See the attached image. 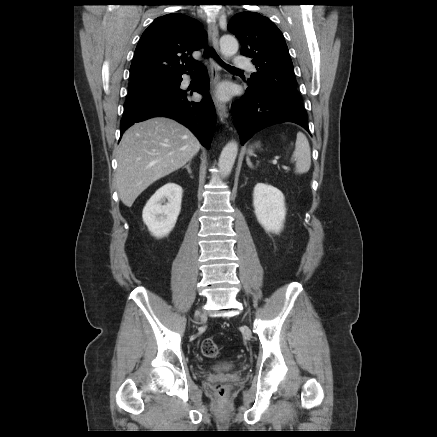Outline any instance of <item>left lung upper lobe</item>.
I'll return each mask as SVG.
<instances>
[{
  "label": "left lung upper lobe",
  "mask_w": 437,
  "mask_h": 437,
  "mask_svg": "<svg viewBox=\"0 0 437 437\" xmlns=\"http://www.w3.org/2000/svg\"><path fill=\"white\" fill-rule=\"evenodd\" d=\"M228 29L240 40L241 54L253 58L257 69L249 87L300 100L285 39L269 18L241 12L232 17Z\"/></svg>",
  "instance_id": "1"
}]
</instances>
